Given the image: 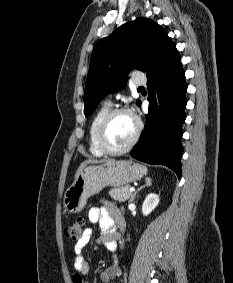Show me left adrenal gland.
Listing matches in <instances>:
<instances>
[{
  "label": "left adrenal gland",
  "mask_w": 233,
  "mask_h": 283,
  "mask_svg": "<svg viewBox=\"0 0 233 283\" xmlns=\"http://www.w3.org/2000/svg\"><path fill=\"white\" fill-rule=\"evenodd\" d=\"M152 185V180L150 179V178H146L145 179V184L143 185V186H141L140 188H138L135 192H134V194L132 195V197H131V199H130V202H132L134 199H135V197H136V195L138 194V192H140L143 188H145L146 186L148 187V186H151Z\"/></svg>",
  "instance_id": "obj_1"
}]
</instances>
